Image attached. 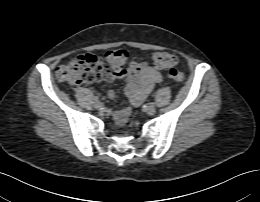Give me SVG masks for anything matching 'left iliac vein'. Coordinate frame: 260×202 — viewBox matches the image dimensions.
Returning a JSON list of instances; mask_svg holds the SVG:
<instances>
[{
	"label": "left iliac vein",
	"mask_w": 260,
	"mask_h": 202,
	"mask_svg": "<svg viewBox=\"0 0 260 202\" xmlns=\"http://www.w3.org/2000/svg\"><path fill=\"white\" fill-rule=\"evenodd\" d=\"M145 112L148 114V115H153L155 114L156 112V108L154 105H147L146 108H145Z\"/></svg>",
	"instance_id": "obj_1"
}]
</instances>
